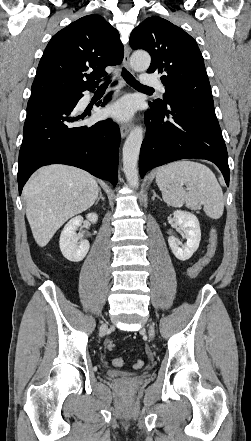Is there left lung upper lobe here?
Returning a JSON list of instances; mask_svg holds the SVG:
<instances>
[{
  "label": "left lung upper lobe",
  "mask_w": 251,
  "mask_h": 441,
  "mask_svg": "<svg viewBox=\"0 0 251 441\" xmlns=\"http://www.w3.org/2000/svg\"><path fill=\"white\" fill-rule=\"evenodd\" d=\"M132 49L151 55L148 73H160L165 86L159 106L195 95L212 97L202 54L196 41L180 27L157 16L145 19L130 35Z\"/></svg>",
  "instance_id": "5c2ea615"
}]
</instances>
